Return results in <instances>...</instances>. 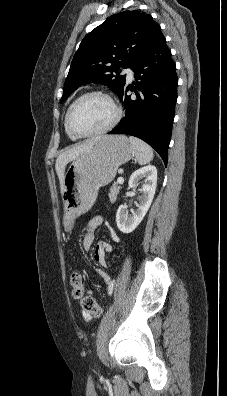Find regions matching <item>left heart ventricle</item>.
Masks as SVG:
<instances>
[{"label": "left heart ventricle", "mask_w": 227, "mask_h": 396, "mask_svg": "<svg viewBox=\"0 0 227 396\" xmlns=\"http://www.w3.org/2000/svg\"><path fill=\"white\" fill-rule=\"evenodd\" d=\"M114 117L111 104L101 96L82 99L73 109L71 123L80 133H89L105 127Z\"/></svg>", "instance_id": "b2bd125f"}]
</instances>
